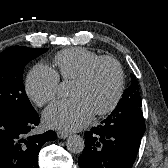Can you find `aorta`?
<instances>
[{
	"mask_svg": "<svg viewBox=\"0 0 168 168\" xmlns=\"http://www.w3.org/2000/svg\"><path fill=\"white\" fill-rule=\"evenodd\" d=\"M62 86L63 88L66 87L64 83ZM66 147L71 153H82L85 147L84 139L79 135H72L67 139Z\"/></svg>",
	"mask_w": 168,
	"mask_h": 168,
	"instance_id": "762f6f07",
	"label": "aorta"
}]
</instances>
